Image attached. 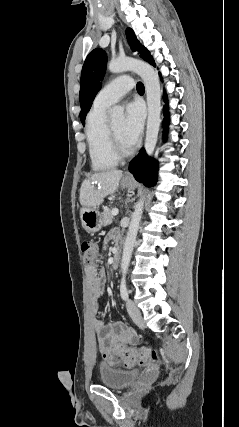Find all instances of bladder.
Segmentation results:
<instances>
[{"label":"bladder","instance_id":"1","mask_svg":"<svg viewBox=\"0 0 239 427\" xmlns=\"http://www.w3.org/2000/svg\"><path fill=\"white\" fill-rule=\"evenodd\" d=\"M138 370H124L102 367L99 370L100 383L106 387L122 389L132 385L138 378Z\"/></svg>","mask_w":239,"mask_h":427}]
</instances>
